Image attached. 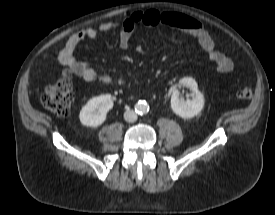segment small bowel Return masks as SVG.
<instances>
[{
    "label": "small bowel",
    "mask_w": 275,
    "mask_h": 215,
    "mask_svg": "<svg viewBox=\"0 0 275 215\" xmlns=\"http://www.w3.org/2000/svg\"><path fill=\"white\" fill-rule=\"evenodd\" d=\"M137 25L147 27L167 26L178 29L196 39L199 46L214 63L220 73H228L233 69L232 60L216 49L215 43L209 32L195 18L174 11H159L148 9L130 14L122 21L105 22L97 28L81 30L70 36L65 47L59 54L60 62L67 66L75 75L87 82L99 81L106 85L129 86L132 81L123 77L98 72L87 60L78 59L76 50L85 39H94L99 33L120 30L119 47L128 49L131 35ZM140 53H145L138 47Z\"/></svg>",
    "instance_id": "small-bowel-1"
}]
</instances>
